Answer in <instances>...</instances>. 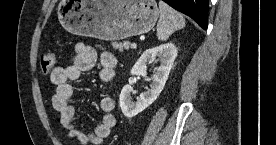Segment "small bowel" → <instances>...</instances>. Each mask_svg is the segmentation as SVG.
Wrapping results in <instances>:
<instances>
[{"label": "small bowel", "instance_id": "c3829d8e", "mask_svg": "<svg viewBox=\"0 0 276 145\" xmlns=\"http://www.w3.org/2000/svg\"><path fill=\"white\" fill-rule=\"evenodd\" d=\"M96 59L97 54L92 47L78 43L74 47L71 64L55 67L50 73V82L56 89L52 97L53 108L58 113L61 124L67 130V136L77 139L83 145L103 144L117 124L114 115L115 101L110 96H104L100 100V108L104 117L102 123L92 133L84 132L75 122V106L71 103L74 88L70 82L79 79L82 73L91 70ZM99 64L97 78L104 84H112L115 80L116 57L108 52L102 53Z\"/></svg>", "mask_w": 276, "mask_h": 145}]
</instances>
